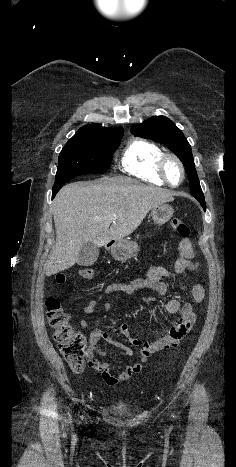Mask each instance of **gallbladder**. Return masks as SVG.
Masks as SVG:
<instances>
[{"label":"gallbladder","mask_w":236,"mask_h":467,"mask_svg":"<svg viewBox=\"0 0 236 467\" xmlns=\"http://www.w3.org/2000/svg\"><path fill=\"white\" fill-rule=\"evenodd\" d=\"M99 256V248L92 242H86L80 249L77 256V264L80 266L93 265Z\"/></svg>","instance_id":"gallbladder-1"}]
</instances>
